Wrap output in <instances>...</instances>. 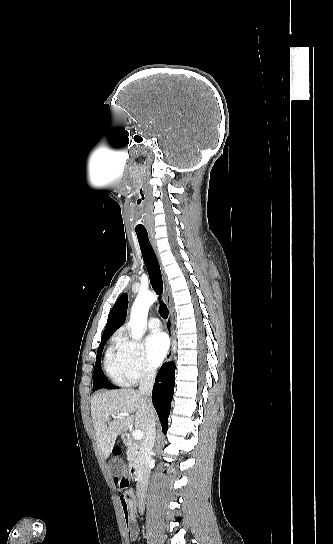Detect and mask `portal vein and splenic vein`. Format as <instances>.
<instances>
[{"label": "portal vein and splenic vein", "mask_w": 333, "mask_h": 544, "mask_svg": "<svg viewBox=\"0 0 333 544\" xmlns=\"http://www.w3.org/2000/svg\"><path fill=\"white\" fill-rule=\"evenodd\" d=\"M127 417L129 416L128 413H117V414H112V417ZM132 436L135 440H141L143 437H144V433L142 430H139V429H136L133 431L132 433Z\"/></svg>", "instance_id": "1"}]
</instances>
